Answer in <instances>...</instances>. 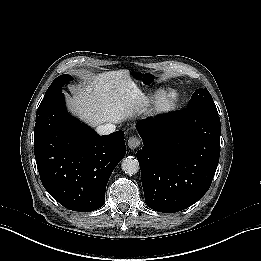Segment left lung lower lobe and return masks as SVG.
I'll return each mask as SVG.
<instances>
[{
	"instance_id": "obj_1",
	"label": "left lung lower lobe",
	"mask_w": 261,
	"mask_h": 261,
	"mask_svg": "<svg viewBox=\"0 0 261 261\" xmlns=\"http://www.w3.org/2000/svg\"><path fill=\"white\" fill-rule=\"evenodd\" d=\"M136 128L144 144L137 159L148 207L173 213L200 200L219 162L218 112L186 108L165 121L141 120Z\"/></svg>"
}]
</instances>
